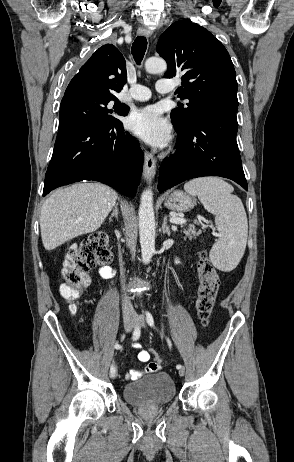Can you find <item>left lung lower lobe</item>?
<instances>
[{
  "mask_svg": "<svg viewBox=\"0 0 294 462\" xmlns=\"http://www.w3.org/2000/svg\"><path fill=\"white\" fill-rule=\"evenodd\" d=\"M237 106L222 104L207 109L178 133L177 151L164 159L158 190L202 176L229 178L248 190L236 142Z\"/></svg>",
  "mask_w": 294,
  "mask_h": 462,
  "instance_id": "obj_1",
  "label": "left lung lower lobe"
}]
</instances>
